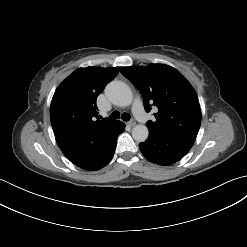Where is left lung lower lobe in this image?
Masks as SVG:
<instances>
[{"label": "left lung lower lobe", "mask_w": 247, "mask_h": 247, "mask_svg": "<svg viewBox=\"0 0 247 247\" xmlns=\"http://www.w3.org/2000/svg\"><path fill=\"white\" fill-rule=\"evenodd\" d=\"M192 145L186 141L150 134L148 140L139 144V148L147 160L158 165H171L183 158Z\"/></svg>", "instance_id": "left-lung-lower-lobe-1"}]
</instances>
